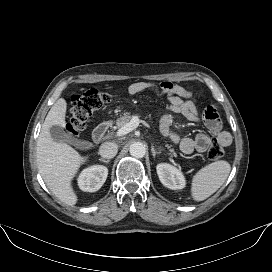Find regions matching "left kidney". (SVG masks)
<instances>
[{
	"label": "left kidney",
	"instance_id": "5707ae66",
	"mask_svg": "<svg viewBox=\"0 0 272 272\" xmlns=\"http://www.w3.org/2000/svg\"><path fill=\"white\" fill-rule=\"evenodd\" d=\"M160 182L167 188L172 190L183 189L186 180L181 170L168 163H160L156 167Z\"/></svg>",
	"mask_w": 272,
	"mask_h": 272
}]
</instances>
